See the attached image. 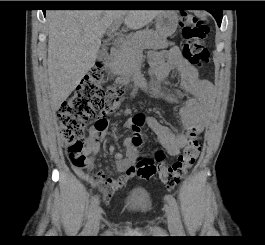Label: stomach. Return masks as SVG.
I'll list each match as a JSON object with an SVG mask.
<instances>
[{"label": "stomach", "instance_id": "stomach-1", "mask_svg": "<svg viewBox=\"0 0 265 245\" xmlns=\"http://www.w3.org/2000/svg\"><path fill=\"white\" fill-rule=\"evenodd\" d=\"M177 26L178 14L175 11H165L156 17V33L164 38L174 34Z\"/></svg>", "mask_w": 265, "mask_h": 245}]
</instances>
